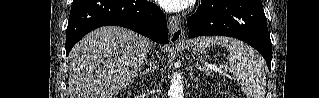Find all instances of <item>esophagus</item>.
I'll return each instance as SVG.
<instances>
[{"label":"esophagus","instance_id":"obj_1","mask_svg":"<svg viewBox=\"0 0 319 98\" xmlns=\"http://www.w3.org/2000/svg\"><path fill=\"white\" fill-rule=\"evenodd\" d=\"M168 29L170 32V42L178 44L183 41L184 31L181 27L180 18L177 16H170L168 19Z\"/></svg>","mask_w":319,"mask_h":98}]
</instances>
